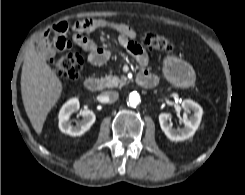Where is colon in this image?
I'll list each match as a JSON object with an SVG mask.
<instances>
[{"label": "colon", "instance_id": "obj_1", "mask_svg": "<svg viewBox=\"0 0 245 195\" xmlns=\"http://www.w3.org/2000/svg\"><path fill=\"white\" fill-rule=\"evenodd\" d=\"M143 44L150 50L171 52L173 49L172 43L157 32H146L143 36ZM83 65V58L76 52L65 53L51 61L55 74L69 80H74L78 77Z\"/></svg>", "mask_w": 245, "mask_h": 195}]
</instances>
